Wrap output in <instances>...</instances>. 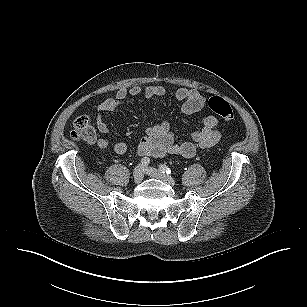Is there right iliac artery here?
I'll return each instance as SVG.
<instances>
[{
	"instance_id": "82829eb1",
	"label": "right iliac artery",
	"mask_w": 307,
	"mask_h": 307,
	"mask_svg": "<svg viewBox=\"0 0 307 307\" xmlns=\"http://www.w3.org/2000/svg\"><path fill=\"white\" fill-rule=\"evenodd\" d=\"M149 163H150V159L149 158H142L141 159V165L142 166H148L149 165Z\"/></svg>"
}]
</instances>
